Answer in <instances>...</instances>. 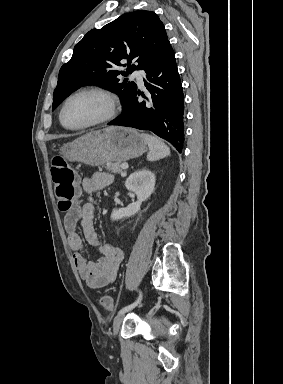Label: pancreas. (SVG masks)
I'll list each match as a JSON object with an SVG mask.
<instances>
[{
  "instance_id": "1",
  "label": "pancreas",
  "mask_w": 283,
  "mask_h": 384,
  "mask_svg": "<svg viewBox=\"0 0 283 384\" xmlns=\"http://www.w3.org/2000/svg\"><path fill=\"white\" fill-rule=\"evenodd\" d=\"M104 168L108 170V172H112V174H121V162H116V164H112V162H109V164H105Z\"/></svg>"
}]
</instances>
